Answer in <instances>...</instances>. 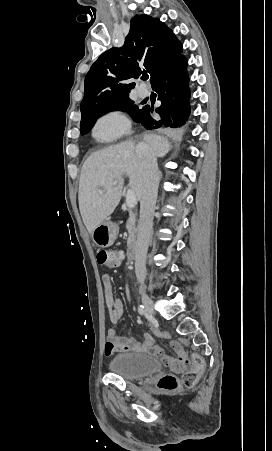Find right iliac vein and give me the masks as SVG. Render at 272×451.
<instances>
[{
  "label": "right iliac vein",
  "mask_w": 272,
  "mask_h": 451,
  "mask_svg": "<svg viewBox=\"0 0 272 451\" xmlns=\"http://www.w3.org/2000/svg\"><path fill=\"white\" fill-rule=\"evenodd\" d=\"M142 302L150 315L154 314L153 302L146 292L142 293Z\"/></svg>",
  "instance_id": "63e3f726"
}]
</instances>
